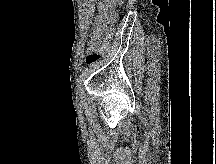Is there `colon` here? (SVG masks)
<instances>
[{"mask_svg":"<svg viewBox=\"0 0 216 164\" xmlns=\"http://www.w3.org/2000/svg\"><path fill=\"white\" fill-rule=\"evenodd\" d=\"M121 0H117L120 2ZM117 19V10L114 9L103 28L93 31L90 41V49L86 57V64L92 66L98 63L106 54L108 48V41L111 27L115 24Z\"/></svg>","mask_w":216,"mask_h":164,"instance_id":"1","label":"colon"}]
</instances>
